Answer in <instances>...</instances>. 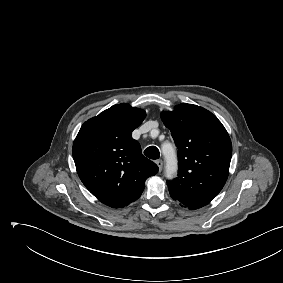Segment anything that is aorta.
Here are the masks:
<instances>
[{
	"label": "aorta",
	"mask_w": 283,
	"mask_h": 283,
	"mask_svg": "<svg viewBox=\"0 0 283 283\" xmlns=\"http://www.w3.org/2000/svg\"><path fill=\"white\" fill-rule=\"evenodd\" d=\"M166 147L169 146H164L163 151H165ZM165 158L167 162V176L171 177L177 170V160L173 150L169 154H165Z\"/></svg>",
	"instance_id": "obj_1"
}]
</instances>
